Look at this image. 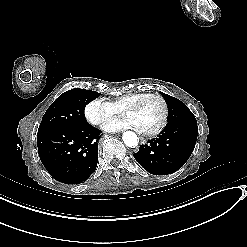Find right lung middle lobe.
<instances>
[{
    "label": "right lung middle lobe",
    "instance_id": "right-lung-middle-lobe-1",
    "mask_svg": "<svg viewBox=\"0 0 247 247\" xmlns=\"http://www.w3.org/2000/svg\"><path fill=\"white\" fill-rule=\"evenodd\" d=\"M100 93L74 88L61 94L47 109L38 132L53 128L81 127L88 123L84 118L86 105Z\"/></svg>",
    "mask_w": 247,
    "mask_h": 247
}]
</instances>
